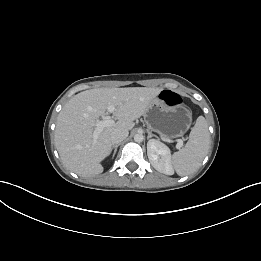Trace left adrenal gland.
Returning <instances> with one entry per match:
<instances>
[{
    "mask_svg": "<svg viewBox=\"0 0 261 261\" xmlns=\"http://www.w3.org/2000/svg\"><path fill=\"white\" fill-rule=\"evenodd\" d=\"M147 132H148V137H147L148 139L151 138V137H153V136H155V135H153V134L151 133L150 130H147Z\"/></svg>",
    "mask_w": 261,
    "mask_h": 261,
    "instance_id": "a2214340",
    "label": "left adrenal gland"
}]
</instances>
